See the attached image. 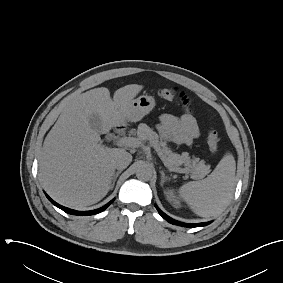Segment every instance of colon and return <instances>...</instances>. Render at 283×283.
Wrapping results in <instances>:
<instances>
[{"label":"colon","instance_id":"5ec220e1","mask_svg":"<svg viewBox=\"0 0 283 283\" xmlns=\"http://www.w3.org/2000/svg\"><path fill=\"white\" fill-rule=\"evenodd\" d=\"M179 94V90L176 88H164L158 91L159 97L165 100H172ZM219 136L214 130H211L207 134V143L211 152L216 153L219 149Z\"/></svg>","mask_w":283,"mask_h":283}]
</instances>
